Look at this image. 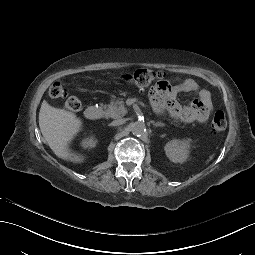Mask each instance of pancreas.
Listing matches in <instances>:
<instances>
[{"label": "pancreas", "instance_id": "1", "mask_svg": "<svg viewBox=\"0 0 255 255\" xmlns=\"http://www.w3.org/2000/svg\"><path fill=\"white\" fill-rule=\"evenodd\" d=\"M127 113L126 108L124 107V102L123 101H115L111 102L106 109V116L110 118H121Z\"/></svg>", "mask_w": 255, "mask_h": 255}]
</instances>
